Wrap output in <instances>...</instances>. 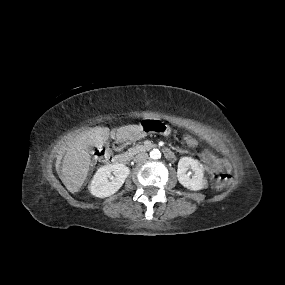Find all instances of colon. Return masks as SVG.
Here are the masks:
<instances>
[{
    "instance_id": "5ec220e1",
    "label": "colon",
    "mask_w": 285,
    "mask_h": 285,
    "mask_svg": "<svg viewBox=\"0 0 285 285\" xmlns=\"http://www.w3.org/2000/svg\"><path fill=\"white\" fill-rule=\"evenodd\" d=\"M180 139L182 142L185 143V145L188 148H194L197 146L198 141L196 138H194L190 133L184 132L181 134ZM110 160V154L105 151V150H101L98 152V155L96 157V163L97 164H103L106 163ZM231 182V176L224 172L219 174L214 182V189L215 190H221L224 187L228 186Z\"/></svg>"
}]
</instances>
